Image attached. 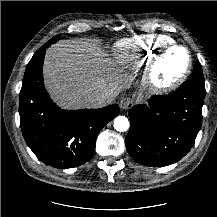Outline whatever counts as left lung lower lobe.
Wrapping results in <instances>:
<instances>
[{"label":"left lung lower lobe","mask_w":217,"mask_h":217,"mask_svg":"<svg viewBox=\"0 0 217 217\" xmlns=\"http://www.w3.org/2000/svg\"><path fill=\"white\" fill-rule=\"evenodd\" d=\"M204 97L205 87L189 79L171 94L133 106L125 139L129 155L137 163L157 167L183 158L200 130Z\"/></svg>","instance_id":"0a47b994"}]
</instances>
